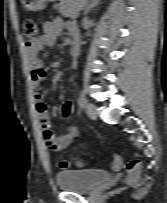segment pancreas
Masks as SVG:
<instances>
[{"instance_id": "obj_1", "label": "pancreas", "mask_w": 167, "mask_h": 203, "mask_svg": "<svg viewBox=\"0 0 167 203\" xmlns=\"http://www.w3.org/2000/svg\"><path fill=\"white\" fill-rule=\"evenodd\" d=\"M83 3L84 0H61L54 8L57 9L62 16L72 17Z\"/></svg>"}]
</instances>
